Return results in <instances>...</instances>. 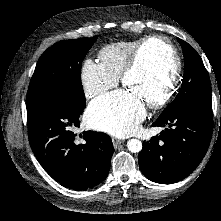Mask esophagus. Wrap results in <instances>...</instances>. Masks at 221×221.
<instances>
[{"instance_id": "34e87169", "label": "esophagus", "mask_w": 221, "mask_h": 221, "mask_svg": "<svg viewBox=\"0 0 221 221\" xmlns=\"http://www.w3.org/2000/svg\"><path fill=\"white\" fill-rule=\"evenodd\" d=\"M112 142H113V146L115 147V148H117L120 144H122L124 141L123 140H120V139H118V138H115V137H113L112 138Z\"/></svg>"}]
</instances>
